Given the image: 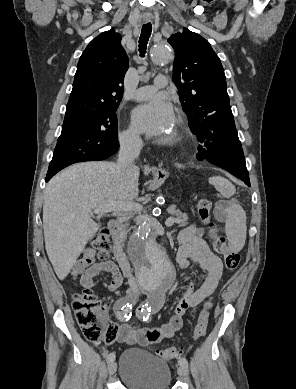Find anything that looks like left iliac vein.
Masks as SVG:
<instances>
[{
  "instance_id": "left-iliac-vein-1",
  "label": "left iliac vein",
  "mask_w": 296,
  "mask_h": 389,
  "mask_svg": "<svg viewBox=\"0 0 296 389\" xmlns=\"http://www.w3.org/2000/svg\"><path fill=\"white\" fill-rule=\"evenodd\" d=\"M177 372L181 377L187 378L189 376V371L187 366L180 365L177 369Z\"/></svg>"
}]
</instances>
